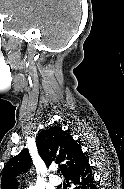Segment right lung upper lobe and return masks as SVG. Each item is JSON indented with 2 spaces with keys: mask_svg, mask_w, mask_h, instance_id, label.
Wrapping results in <instances>:
<instances>
[{
  "mask_svg": "<svg viewBox=\"0 0 124 189\" xmlns=\"http://www.w3.org/2000/svg\"><path fill=\"white\" fill-rule=\"evenodd\" d=\"M36 146L45 164L50 166L53 162L58 163L64 177L87 161L81 146L60 127L55 126L40 132L36 137ZM31 161L27 149L9 160L3 169L1 189H16L14 177L20 172L27 171Z\"/></svg>",
  "mask_w": 124,
  "mask_h": 189,
  "instance_id": "obj_1",
  "label": "right lung upper lobe"
}]
</instances>
